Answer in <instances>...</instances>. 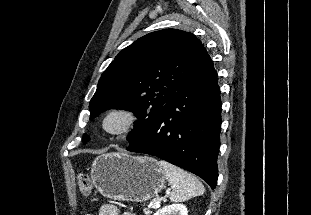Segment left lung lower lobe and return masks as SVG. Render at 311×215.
<instances>
[{
  "label": "left lung lower lobe",
  "mask_w": 311,
  "mask_h": 215,
  "mask_svg": "<svg viewBox=\"0 0 311 215\" xmlns=\"http://www.w3.org/2000/svg\"><path fill=\"white\" fill-rule=\"evenodd\" d=\"M220 129L217 73L204 48L191 73L148 130L126 150L157 156L196 174L214 189Z\"/></svg>",
  "instance_id": "left-lung-lower-lobe-1"
}]
</instances>
